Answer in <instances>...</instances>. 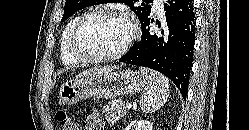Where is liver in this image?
Masks as SVG:
<instances>
[{"instance_id":"6515ba94","label":"liver","mask_w":249,"mask_h":130,"mask_svg":"<svg viewBox=\"0 0 249 130\" xmlns=\"http://www.w3.org/2000/svg\"><path fill=\"white\" fill-rule=\"evenodd\" d=\"M114 68L116 69L118 67H111V66L101 67V66H97V67L85 70L82 74H79L77 77L82 76V75L95 74L97 72H111V71H113Z\"/></svg>"}]
</instances>
